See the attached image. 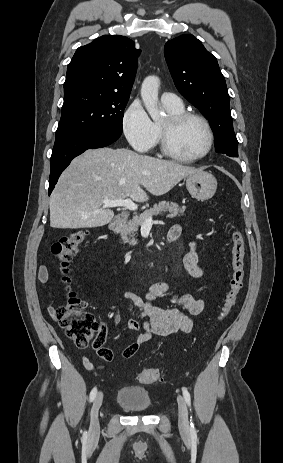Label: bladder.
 <instances>
[{
    "label": "bladder",
    "instance_id": "bladder-1",
    "mask_svg": "<svg viewBox=\"0 0 283 463\" xmlns=\"http://www.w3.org/2000/svg\"><path fill=\"white\" fill-rule=\"evenodd\" d=\"M116 403L131 412H146L152 407L148 391L137 386H123L116 396Z\"/></svg>",
    "mask_w": 283,
    "mask_h": 463
}]
</instances>
